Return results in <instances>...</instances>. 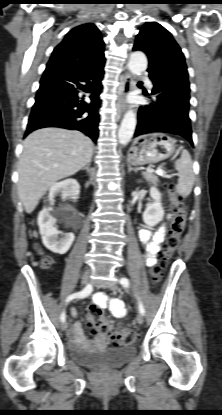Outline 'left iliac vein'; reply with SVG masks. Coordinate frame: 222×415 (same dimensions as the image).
<instances>
[{"label":"left iliac vein","instance_id":"obj_1","mask_svg":"<svg viewBox=\"0 0 222 415\" xmlns=\"http://www.w3.org/2000/svg\"><path fill=\"white\" fill-rule=\"evenodd\" d=\"M108 288L111 289V290H117L118 285L116 283H111V284L108 285ZM137 322L139 324H143V322H144V317L141 313L137 315Z\"/></svg>","mask_w":222,"mask_h":415}]
</instances>
